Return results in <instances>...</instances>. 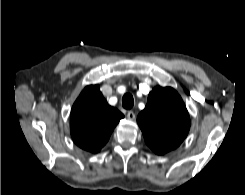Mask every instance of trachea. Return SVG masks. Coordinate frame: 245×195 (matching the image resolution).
Masks as SVG:
<instances>
[{"label":"trachea","instance_id":"obj_1","mask_svg":"<svg viewBox=\"0 0 245 195\" xmlns=\"http://www.w3.org/2000/svg\"><path fill=\"white\" fill-rule=\"evenodd\" d=\"M134 105L133 96L129 93L125 94L122 98V106L125 109H131Z\"/></svg>","mask_w":245,"mask_h":195}]
</instances>
